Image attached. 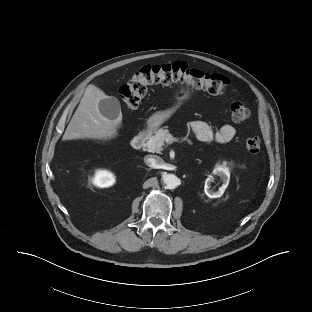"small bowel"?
I'll return each instance as SVG.
<instances>
[{"label":"small bowel","instance_id":"obj_1","mask_svg":"<svg viewBox=\"0 0 312 312\" xmlns=\"http://www.w3.org/2000/svg\"><path fill=\"white\" fill-rule=\"evenodd\" d=\"M189 130L203 142H217L223 144L230 142L236 135V129L231 124H225L218 130L213 131L207 123L193 121L189 124Z\"/></svg>","mask_w":312,"mask_h":312}]
</instances>
